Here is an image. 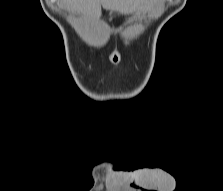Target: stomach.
Segmentation results:
<instances>
[{
	"label": "stomach",
	"instance_id": "stomach-1",
	"mask_svg": "<svg viewBox=\"0 0 223 191\" xmlns=\"http://www.w3.org/2000/svg\"><path fill=\"white\" fill-rule=\"evenodd\" d=\"M152 2H153V0H142V2L140 3V5H139L138 8H137V12H141V11H143L145 5H146V4H150V3H152Z\"/></svg>",
	"mask_w": 223,
	"mask_h": 191
}]
</instances>
